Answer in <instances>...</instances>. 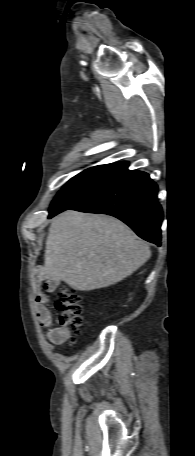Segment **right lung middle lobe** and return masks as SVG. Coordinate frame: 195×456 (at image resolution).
<instances>
[{"label": "right lung middle lobe", "instance_id": "1", "mask_svg": "<svg viewBox=\"0 0 195 456\" xmlns=\"http://www.w3.org/2000/svg\"><path fill=\"white\" fill-rule=\"evenodd\" d=\"M124 170L91 167L70 179L50 206V215L70 209L106 187Z\"/></svg>", "mask_w": 195, "mask_h": 456}]
</instances>
